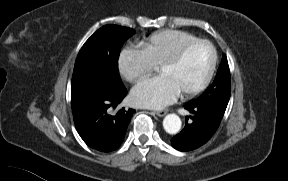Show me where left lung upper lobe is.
<instances>
[{
  "label": "left lung upper lobe",
  "mask_w": 288,
  "mask_h": 181,
  "mask_svg": "<svg viewBox=\"0 0 288 181\" xmlns=\"http://www.w3.org/2000/svg\"><path fill=\"white\" fill-rule=\"evenodd\" d=\"M231 90V78L228 61L225 55L222 57L217 75L212 85L204 91L192 104L211 105L221 111L226 110Z\"/></svg>",
  "instance_id": "left-lung-upper-lobe-1"
}]
</instances>
